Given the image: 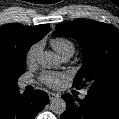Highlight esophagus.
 I'll list each match as a JSON object with an SVG mask.
<instances>
[{
    "label": "esophagus",
    "instance_id": "esophagus-1",
    "mask_svg": "<svg viewBox=\"0 0 119 119\" xmlns=\"http://www.w3.org/2000/svg\"><path fill=\"white\" fill-rule=\"evenodd\" d=\"M48 95H49V99H50V100H54V99H56V98L59 97V94L52 93V92L49 93Z\"/></svg>",
    "mask_w": 119,
    "mask_h": 119
}]
</instances>
